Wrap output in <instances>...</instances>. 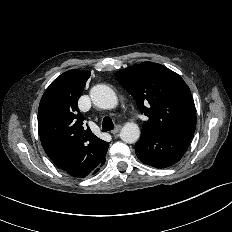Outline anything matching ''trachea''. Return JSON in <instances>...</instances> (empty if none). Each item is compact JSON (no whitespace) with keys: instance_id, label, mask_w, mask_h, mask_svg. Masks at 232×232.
<instances>
[{"instance_id":"trachea-1","label":"trachea","mask_w":232,"mask_h":232,"mask_svg":"<svg viewBox=\"0 0 232 232\" xmlns=\"http://www.w3.org/2000/svg\"><path fill=\"white\" fill-rule=\"evenodd\" d=\"M114 129L113 121L110 117H104L102 122V132L110 131Z\"/></svg>"}]
</instances>
